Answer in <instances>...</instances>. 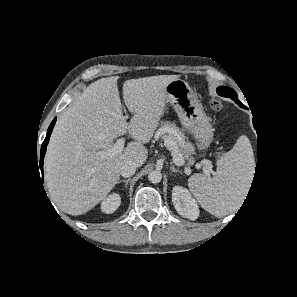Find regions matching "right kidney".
Returning a JSON list of instances; mask_svg holds the SVG:
<instances>
[{"label": "right kidney", "mask_w": 297, "mask_h": 297, "mask_svg": "<svg viewBox=\"0 0 297 297\" xmlns=\"http://www.w3.org/2000/svg\"><path fill=\"white\" fill-rule=\"evenodd\" d=\"M121 204L120 194L113 192L112 194L106 196L101 203V211L107 214L113 213L118 209Z\"/></svg>", "instance_id": "1"}]
</instances>
